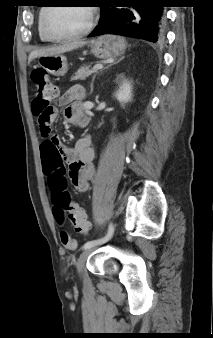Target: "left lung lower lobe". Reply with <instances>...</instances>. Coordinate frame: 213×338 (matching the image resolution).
Here are the masks:
<instances>
[{
	"instance_id": "obj_1",
	"label": "left lung lower lobe",
	"mask_w": 213,
	"mask_h": 338,
	"mask_svg": "<svg viewBox=\"0 0 213 338\" xmlns=\"http://www.w3.org/2000/svg\"><path fill=\"white\" fill-rule=\"evenodd\" d=\"M163 0H102L100 22L89 37L118 34L160 43L165 37Z\"/></svg>"
}]
</instances>
